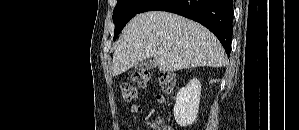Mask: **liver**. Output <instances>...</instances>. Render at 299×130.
Instances as JSON below:
<instances>
[{"mask_svg": "<svg viewBox=\"0 0 299 130\" xmlns=\"http://www.w3.org/2000/svg\"><path fill=\"white\" fill-rule=\"evenodd\" d=\"M152 57L162 72L227 63L223 47L207 28L163 11L138 14L125 26L113 54L112 73L117 76Z\"/></svg>", "mask_w": 299, "mask_h": 130, "instance_id": "6515ba94", "label": "liver"}]
</instances>
